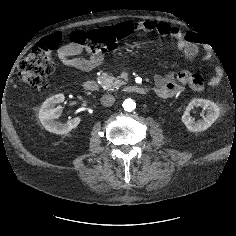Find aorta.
Instances as JSON below:
<instances>
[{"mask_svg":"<svg viewBox=\"0 0 236 236\" xmlns=\"http://www.w3.org/2000/svg\"><path fill=\"white\" fill-rule=\"evenodd\" d=\"M123 109L127 112H132L136 108V103L133 99L128 98L122 104Z\"/></svg>","mask_w":236,"mask_h":236,"instance_id":"obj_1","label":"aorta"}]
</instances>
